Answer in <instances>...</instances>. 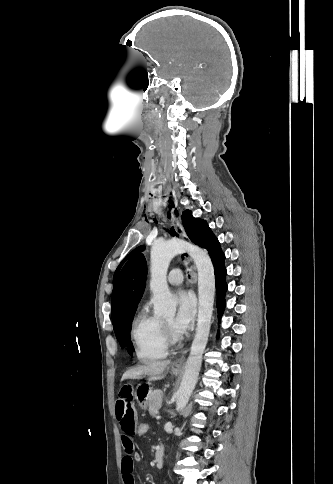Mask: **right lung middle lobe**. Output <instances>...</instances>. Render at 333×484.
I'll return each mask as SVG.
<instances>
[{
  "instance_id": "right-lung-middle-lobe-1",
  "label": "right lung middle lobe",
  "mask_w": 333,
  "mask_h": 484,
  "mask_svg": "<svg viewBox=\"0 0 333 484\" xmlns=\"http://www.w3.org/2000/svg\"><path fill=\"white\" fill-rule=\"evenodd\" d=\"M133 315L134 314H131L130 316H128L115 332L121 347L122 348L128 347V352L131 356L133 354V345L130 341V328H131V321H132Z\"/></svg>"
}]
</instances>
